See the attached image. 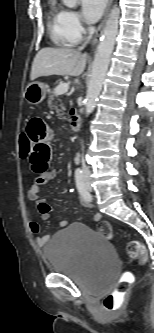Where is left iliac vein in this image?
<instances>
[{"instance_id": "4c4485c4", "label": "left iliac vein", "mask_w": 154, "mask_h": 333, "mask_svg": "<svg viewBox=\"0 0 154 333\" xmlns=\"http://www.w3.org/2000/svg\"><path fill=\"white\" fill-rule=\"evenodd\" d=\"M84 181H85V184H86V188H87V190L91 192V191H92V188H91V186H90V184H89V182H88V180H87L86 177H84Z\"/></svg>"}]
</instances>
